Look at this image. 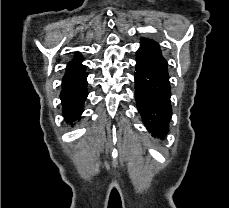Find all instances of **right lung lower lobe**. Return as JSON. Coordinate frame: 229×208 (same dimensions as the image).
I'll return each instance as SVG.
<instances>
[{"label":"right lung lower lobe","mask_w":229,"mask_h":208,"mask_svg":"<svg viewBox=\"0 0 229 208\" xmlns=\"http://www.w3.org/2000/svg\"><path fill=\"white\" fill-rule=\"evenodd\" d=\"M87 73L85 69L78 75L63 80L60 94L63 115L67 122L75 121L83 112V104L87 97Z\"/></svg>","instance_id":"1"}]
</instances>
